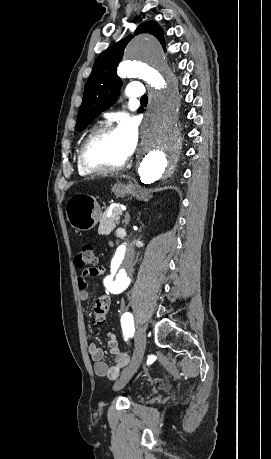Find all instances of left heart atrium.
Instances as JSON below:
<instances>
[{"label":"left heart atrium","mask_w":271,"mask_h":459,"mask_svg":"<svg viewBox=\"0 0 271 459\" xmlns=\"http://www.w3.org/2000/svg\"><path fill=\"white\" fill-rule=\"evenodd\" d=\"M118 130L126 140L130 152L134 151L140 138V120L124 116L119 123Z\"/></svg>","instance_id":"left-heart-atrium-1"}]
</instances>
